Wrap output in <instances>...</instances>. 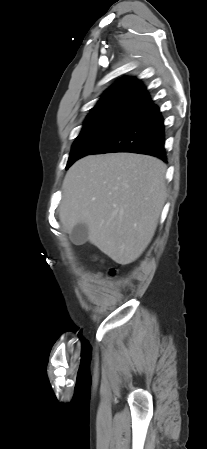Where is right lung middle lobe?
Returning <instances> with one entry per match:
<instances>
[{"label": "right lung middle lobe", "mask_w": 207, "mask_h": 449, "mask_svg": "<svg viewBox=\"0 0 207 449\" xmlns=\"http://www.w3.org/2000/svg\"><path fill=\"white\" fill-rule=\"evenodd\" d=\"M135 115V113L126 111H110L88 115L79 136L72 145L66 169L79 158L91 154Z\"/></svg>", "instance_id": "obj_1"}]
</instances>
